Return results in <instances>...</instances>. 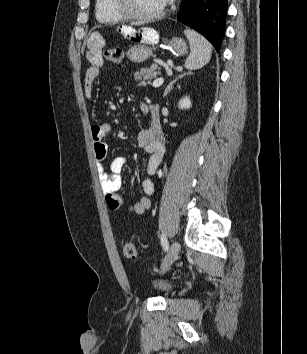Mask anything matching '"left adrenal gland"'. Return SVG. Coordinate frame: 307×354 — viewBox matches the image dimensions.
I'll list each match as a JSON object with an SVG mask.
<instances>
[{"mask_svg": "<svg viewBox=\"0 0 307 354\" xmlns=\"http://www.w3.org/2000/svg\"><path fill=\"white\" fill-rule=\"evenodd\" d=\"M187 75H192V73H191V72H188V73L182 74V75L176 77L173 81H171V82L168 84V86L166 87L163 96L165 97V96L172 90V88L174 87V84H175L179 79H181V78H183V77H185V76H187Z\"/></svg>", "mask_w": 307, "mask_h": 354, "instance_id": "left-adrenal-gland-1", "label": "left adrenal gland"}]
</instances>
